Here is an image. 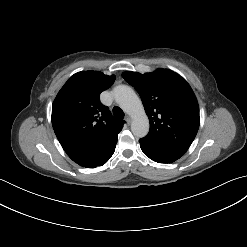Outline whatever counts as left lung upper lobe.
I'll return each mask as SVG.
<instances>
[{
	"label": "left lung upper lobe",
	"instance_id": "5c2ea615",
	"mask_svg": "<svg viewBox=\"0 0 247 247\" xmlns=\"http://www.w3.org/2000/svg\"><path fill=\"white\" fill-rule=\"evenodd\" d=\"M122 76L139 93L148 115L150 131L144 138L187 150L199 128V106L189 84L166 69Z\"/></svg>",
	"mask_w": 247,
	"mask_h": 247
}]
</instances>
